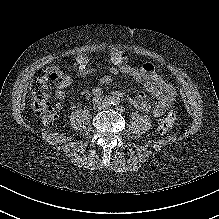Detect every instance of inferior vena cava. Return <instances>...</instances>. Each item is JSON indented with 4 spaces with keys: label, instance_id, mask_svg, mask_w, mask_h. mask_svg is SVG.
Here are the masks:
<instances>
[{
    "label": "inferior vena cava",
    "instance_id": "1",
    "mask_svg": "<svg viewBox=\"0 0 219 219\" xmlns=\"http://www.w3.org/2000/svg\"><path fill=\"white\" fill-rule=\"evenodd\" d=\"M108 106H109V105H107V104H104V105H103L104 108H106V107H108Z\"/></svg>",
    "mask_w": 219,
    "mask_h": 219
}]
</instances>
